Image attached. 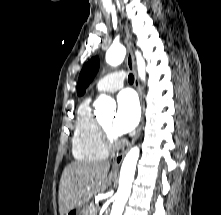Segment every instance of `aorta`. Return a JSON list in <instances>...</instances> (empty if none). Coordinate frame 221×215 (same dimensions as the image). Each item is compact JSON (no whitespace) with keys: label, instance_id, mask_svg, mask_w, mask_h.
I'll use <instances>...</instances> for the list:
<instances>
[{"label":"aorta","instance_id":"762f6f07","mask_svg":"<svg viewBox=\"0 0 221 215\" xmlns=\"http://www.w3.org/2000/svg\"><path fill=\"white\" fill-rule=\"evenodd\" d=\"M137 60L138 75L141 80H145V61L139 51L135 52ZM126 49L123 45H112L106 52V62L111 66L121 64L125 58ZM114 108L115 102L107 95H100L95 102L96 111H102L106 107ZM140 150L137 146L133 147L125 156L119 178V188L114 196L110 215H122L124 206L131 192L132 182L134 180L136 164L139 158Z\"/></svg>","mask_w":221,"mask_h":215}]
</instances>
